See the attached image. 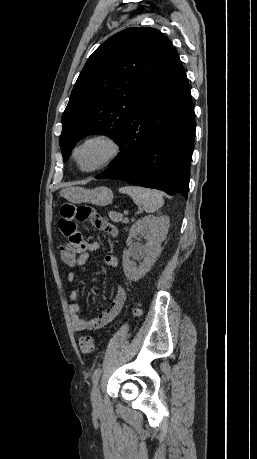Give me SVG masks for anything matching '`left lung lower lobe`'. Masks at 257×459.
Returning a JSON list of instances; mask_svg holds the SVG:
<instances>
[{"mask_svg":"<svg viewBox=\"0 0 257 459\" xmlns=\"http://www.w3.org/2000/svg\"><path fill=\"white\" fill-rule=\"evenodd\" d=\"M194 117L186 73L174 49L126 121L120 155L95 178L125 180L187 198Z\"/></svg>","mask_w":257,"mask_h":459,"instance_id":"1","label":"left lung lower lobe"}]
</instances>
